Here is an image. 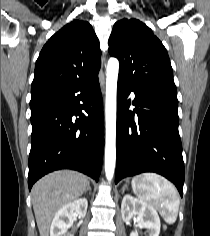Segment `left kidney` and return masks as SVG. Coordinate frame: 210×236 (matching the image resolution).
Segmentation results:
<instances>
[{"label":"left kidney","instance_id":"left-kidney-1","mask_svg":"<svg viewBox=\"0 0 210 236\" xmlns=\"http://www.w3.org/2000/svg\"><path fill=\"white\" fill-rule=\"evenodd\" d=\"M121 214L124 221H129L136 215L140 228H146L149 236H159L160 219L157 211L148 203L131 195H125L121 203ZM130 236H138V233L133 231Z\"/></svg>","mask_w":210,"mask_h":236}]
</instances>
